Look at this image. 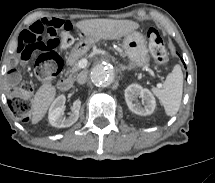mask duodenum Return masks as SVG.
<instances>
[{"mask_svg": "<svg viewBox=\"0 0 215 183\" xmlns=\"http://www.w3.org/2000/svg\"><path fill=\"white\" fill-rule=\"evenodd\" d=\"M73 85V80L71 77H65L61 79L58 83V87L61 91H68Z\"/></svg>", "mask_w": 215, "mask_h": 183, "instance_id": "obj_1", "label": "duodenum"}]
</instances>
